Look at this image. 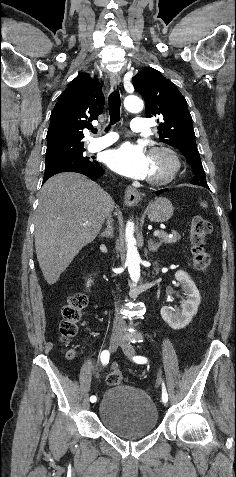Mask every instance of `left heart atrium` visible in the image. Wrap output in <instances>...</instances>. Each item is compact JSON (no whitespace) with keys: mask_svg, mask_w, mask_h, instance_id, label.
<instances>
[{"mask_svg":"<svg viewBox=\"0 0 236 477\" xmlns=\"http://www.w3.org/2000/svg\"><path fill=\"white\" fill-rule=\"evenodd\" d=\"M105 161L117 173L144 179L149 175L150 157L142 145L123 143L107 152Z\"/></svg>","mask_w":236,"mask_h":477,"instance_id":"obj_1","label":"left heart atrium"}]
</instances>
